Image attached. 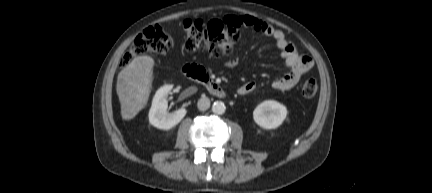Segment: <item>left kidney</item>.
I'll use <instances>...</instances> for the list:
<instances>
[{
  "mask_svg": "<svg viewBox=\"0 0 432 193\" xmlns=\"http://www.w3.org/2000/svg\"><path fill=\"white\" fill-rule=\"evenodd\" d=\"M286 116V107L275 100L263 101L253 111L255 123L264 129L278 128Z\"/></svg>",
  "mask_w": 432,
  "mask_h": 193,
  "instance_id": "5707ae66",
  "label": "left kidney"
}]
</instances>
